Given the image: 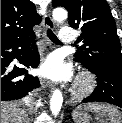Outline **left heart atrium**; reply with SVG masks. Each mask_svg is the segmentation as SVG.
I'll list each match as a JSON object with an SVG mask.
<instances>
[{
  "instance_id": "39dd6f15",
  "label": "left heart atrium",
  "mask_w": 122,
  "mask_h": 123,
  "mask_svg": "<svg viewBox=\"0 0 122 123\" xmlns=\"http://www.w3.org/2000/svg\"><path fill=\"white\" fill-rule=\"evenodd\" d=\"M39 72L43 77L54 81H68L72 77L70 66L65 64L57 54L50 55Z\"/></svg>"
}]
</instances>
